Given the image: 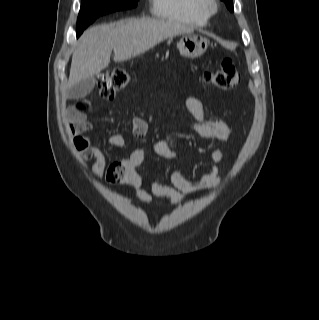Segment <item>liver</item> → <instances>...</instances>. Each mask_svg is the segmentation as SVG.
<instances>
[{
    "mask_svg": "<svg viewBox=\"0 0 319 320\" xmlns=\"http://www.w3.org/2000/svg\"><path fill=\"white\" fill-rule=\"evenodd\" d=\"M192 29L163 19H125L86 30L75 49L67 88L104 70L114 61L121 62L150 50L168 37L191 33Z\"/></svg>",
    "mask_w": 319,
    "mask_h": 320,
    "instance_id": "6515ba94",
    "label": "liver"
}]
</instances>
